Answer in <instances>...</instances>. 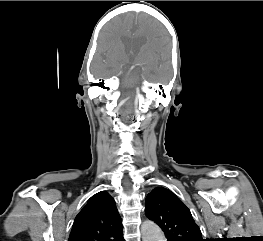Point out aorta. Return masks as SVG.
Segmentation results:
<instances>
[{"instance_id":"aorta-1","label":"aorta","mask_w":263,"mask_h":241,"mask_svg":"<svg viewBox=\"0 0 263 241\" xmlns=\"http://www.w3.org/2000/svg\"><path fill=\"white\" fill-rule=\"evenodd\" d=\"M142 241H165L161 229L151 221H145L141 226Z\"/></svg>"}]
</instances>
